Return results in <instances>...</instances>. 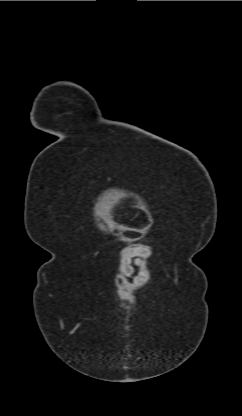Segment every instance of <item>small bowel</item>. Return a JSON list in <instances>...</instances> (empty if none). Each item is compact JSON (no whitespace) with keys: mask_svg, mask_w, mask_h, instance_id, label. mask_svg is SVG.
Instances as JSON below:
<instances>
[{"mask_svg":"<svg viewBox=\"0 0 242 416\" xmlns=\"http://www.w3.org/2000/svg\"><path fill=\"white\" fill-rule=\"evenodd\" d=\"M144 254L143 250L133 249L126 252L123 256V274L131 278L136 285H141L147 279V272L142 265Z\"/></svg>","mask_w":242,"mask_h":416,"instance_id":"obj_1","label":"small bowel"}]
</instances>
